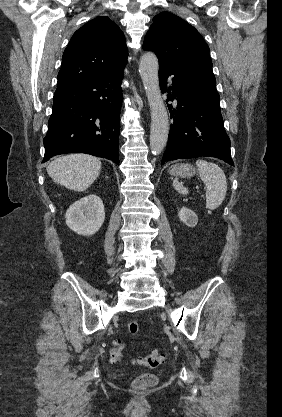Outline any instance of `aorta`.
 <instances>
[{
    "label": "aorta",
    "mask_w": 282,
    "mask_h": 417,
    "mask_svg": "<svg viewBox=\"0 0 282 417\" xmlns=\"http://www.w3.org/2000/svg\"><path fill=\"white\" fill-rule=\"evenodd\" d=\"M159 62L154 52H144L140 58L139 72L151 112L150 148L160 154L166 146L169 120L159 86Z\"/></svg>",
    "instance_id": "1"
}]
</instances>
